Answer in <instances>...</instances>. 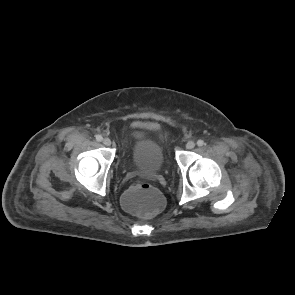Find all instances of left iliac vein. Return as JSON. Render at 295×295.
<instances>
[{"label": "left iliac vein", "mask_w": 295, "mask_h": 295, "mask_svg": "<svg viewBox=\"0 0 295 295\" xmlns=\"http://www.w3.org/2000/svg\"><path fill=\"white\" fill-rule=\"evenodd\" d=\"M195 147V142L194 141H188L187 143H186V148L187 149H193Z\"/></svg>", "instance_id": "1"}]
</instances>
